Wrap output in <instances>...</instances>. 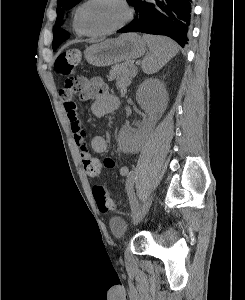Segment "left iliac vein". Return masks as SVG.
<instances>
[{"instance_id":"4c4485c4","label":"left iliac vein","mask_w":245,"mask_h":300,"mask_svg":"<svg viewBox=\"0 0 245 300\" xmlns=\"http://www.w3.org/2000/svg\"><path fill=\"white\" fill-rule=\"evenodd\" d=\"M153 201V196H151L142 206L140 211L133 217V223L138 224L147 214L149 211Z\"/></svg>"}]
</instances>
